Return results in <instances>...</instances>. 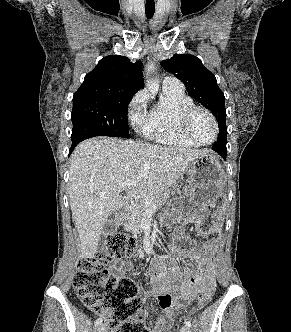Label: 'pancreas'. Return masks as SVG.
I'll use <instances>...</instances> for the list:
<instances>
[{"label":"pancreas","instance_id":"pancreas-1","mask_svg":"<svg viewBox=\"0 0 291 332\" xmlns=\"http://www.w3.org/2000/svg\"><path fill=\"white\" fill-rule=\"evenodd\" d=\"M170 197L169 190L157 191L154 193H149L143 196L140 201L132 208L129 214L126 216V221L124 222V228L127 231H140L141 230V220L145 215L148 208L152 211H156L164 206ZM149 198L153 200L156 208L149 207L145 203V199Z\"/></svg>","mask_w":291,"mask_h":332}]
</instances>
